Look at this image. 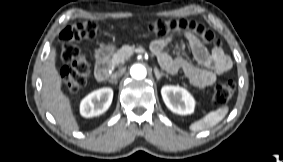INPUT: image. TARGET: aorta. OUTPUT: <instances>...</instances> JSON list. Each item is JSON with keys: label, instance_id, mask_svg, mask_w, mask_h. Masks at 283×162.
<instances>
[{"label": "aorta", "instance_id": "762f6f07", "mask_svg": "<svg viewBox=\"0 0 283 162\" xmlns=\"http://www.w3.org/2000/svg\"><path fill=\"white\" fill-rule=\"evenodd\" d=\"M130 74L134 79H144L147 75L146 68L141 64H135L130 69Z\"/></svg>", "mask_w": 283, "mask_h": 162}]
</instances>
